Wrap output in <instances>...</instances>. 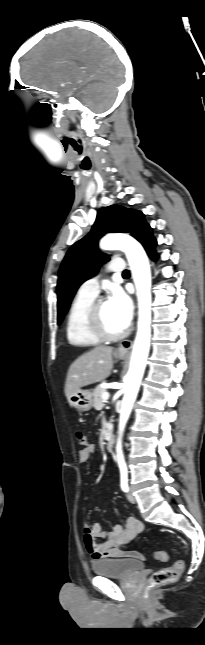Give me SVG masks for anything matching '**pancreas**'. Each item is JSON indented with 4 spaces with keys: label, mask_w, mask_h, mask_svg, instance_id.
<instances>
[{
    "label": "pancreas",
    "mask_w": 205,
    "mask_h": 645,
    "mask_svg": "<svg viewBox=\"0 0 205 645\" xmlns=\"http://www.w3.org/2000/svg\"><path fill=\"white\" fill-rule=\"evenodd\" d=\"M106 392L101 386H97L93 390V406L96 410H101L104 407V400L102 399V394Z\"/></svg>",
    "instance_id": "pancreas-1"
}]
</instances>
